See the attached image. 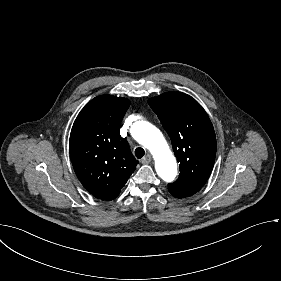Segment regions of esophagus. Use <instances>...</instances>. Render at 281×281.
<instances>
[{
    "label": "esophagus",
    "mask_w": 281,
    "mask_h": 281,
    "mask_svg": "<svg viewBox=\"0 0 281 281\" xmlns=\"http://www.w3.org/2000/svg\"><path fill=\"white\" fill-rule=\"evenodd\" d=\"M152 160V156L150 154H147L143 159H142V163L143 164H148L150 163Z\"/></svg>",
    "instance_id": "esophagus-1"
}]
</instances>
